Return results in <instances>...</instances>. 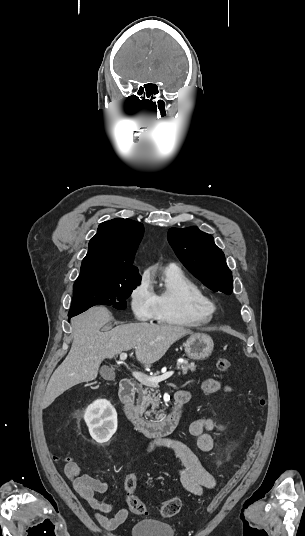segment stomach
Returning a JSON list of instances; mask_svg holds the SVG:
<instances>
[{"instance_id":"1","label":"stomach","mask_w":305,"mask_h":536,"mask_svg":"<svg viewBox=\"0 0 305 536\" xmlns=\"http://www.w3.org/2000/svg\"><path fill=\"white\" fill-rule=\"evenodd\" d=\"M185 354L191 360H206L213 352L214 342L207 334H192L184 344Z\"/></svg>"}]
</instances>
